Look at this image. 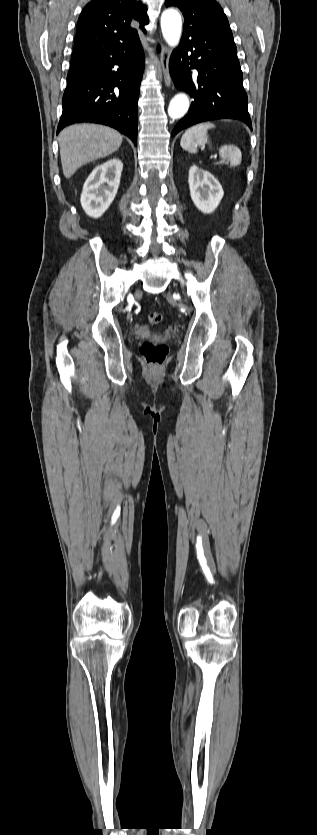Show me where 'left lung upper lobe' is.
<instances>
[{
  "label": "left lung upper lobe",
  "instance_id": "obj_1",
  "mask_svg": "<svg viewBox=\"0 0 317 835\" xmlns=\"http://www.w3.org/2000/svg\"><path fill=\"white\" fill-rule=\"evenodd\" d=\"M165 5L176 6L183 12V35L210 29L233 37L227 17L215 0H166Z\"/></svg>",
  "mask_w": 317,
  "mask_h": 835
}]
</instances>
